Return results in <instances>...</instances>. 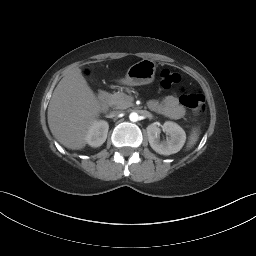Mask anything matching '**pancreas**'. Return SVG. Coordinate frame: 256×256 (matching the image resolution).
I'll use <instances>...</instances> for the list:
<instances>
[{
  "label": "pancreas",
  "mask_w": 256,
  "mask_h": 256,
  "mask_svg": "<svg viewBox=\"0 0 256 256\" xmlns=\"http://www.w3.org/2000/svg\"><path fill=\"white\" fill-rule=\"evenodd\" d=\"M107 101L109 106L115 109H126L132 105L133 98L123 92H116L114 94H107Z\"/></svg>",
  "instance_id": "1"
}]
</instances>
